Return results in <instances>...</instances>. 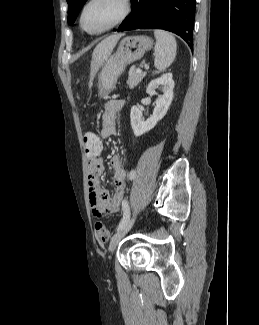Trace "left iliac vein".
Instances as JSON below:
<instances>
[{"instance_id":"1","label":"left iliac vein","mask_w":259,"mask_h":325,"mask_svg":"<svg viewBox=\"0 0 259 325\" xmlns=\"http://www.w3.org/2000/svg\"><path fill=\"white\" fill-rule=\"evenodd\" d=\"M135 221V215L121 228L119 229L111 238L110 244H109V252H113L118 245V243L121 241V239L129 232V230L132 228Z\"/></svg>"}]
</instances>
